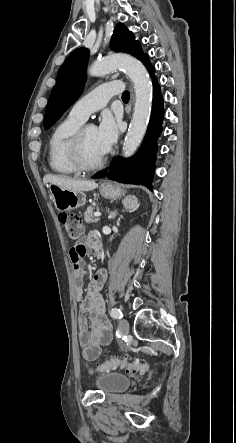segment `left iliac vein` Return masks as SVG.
Segmentation results:
<instances>
[{"instance_id":"4c4485c4","label":"left iliac vein","mask_w":236,"mask_h":443,"mask_svg":"<svg viewBox=\"0 0 236 443\" xmlns=\"http://www.w3.org/2000/svg\"><path fill=\"white\" fill-rule=\"evenodd\" d=\"M120 331L122 334L126 335L129 332V323L126 319L120 321Z\"/></svg>"}]
</instances>
